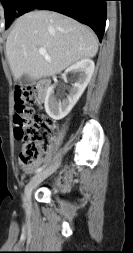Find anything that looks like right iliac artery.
<instances>
[{"label": "right iliac artery", "instance_id": "right-iliac-artery-1", "mask_svg": "<svg viewBox=\"0 0 133 253\" xmlns=\"http://www.w3.org/2000/svg\"><path fill=\"white\" fill-rule=\"evenodd\" d=\"M44 168H45V166H42V167L38 168V169L35 171V173H36V174H39ZM24 202H25V200H24Z\"/></svg>", "mask_w": 133, "mask_h": 253}]
</instances>
